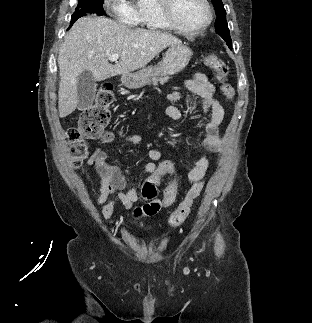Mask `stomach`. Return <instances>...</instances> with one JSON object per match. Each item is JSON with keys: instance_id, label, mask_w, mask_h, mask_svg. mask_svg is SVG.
<instances>
[{"instance_id": "1", "label": "stomach", "mask_w": 312, "mask_h": 323, "mask_svg": "<svg viewBox=\"0 0 312 323\" xmlns=\"http://www.w3.org/2000/svg\"><path fill=\"white\" fill-rule=\"evenodd\" d=\"M192 52L185 44H172L168 48L162 62L152 68H142L135 74H123L121 82L126 88L136 90L149 84L151 78L155 76H173L186 68L191 60Z\"/></svg>"}]
</instances>
